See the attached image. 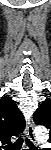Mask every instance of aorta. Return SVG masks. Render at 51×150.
<instances>
[{"label": "aorta", "mask_w": 51, "mask_h": 150, "mask_svg": "<svg viewBox=\"0 0 51 150\" xmlns=\"http://www.w3.org/2000/svg\"><path fill=\"white\" fill-rule=\"evenodd\" d=\"M34 134L38 143L46 142L49 137L48 131L44 126L35 127Z\"/></svg>", "instance_id": "762f6f07"}]
</instances>
